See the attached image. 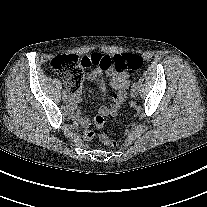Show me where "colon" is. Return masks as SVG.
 I'll return each mask as SVG.
<instances>
[{
	"label": "colon",
	"mask_w": 207,
	"mask_h": 207,
	"mask_svg": "<svg viewBox=\"0 0 207 207\" xmlns=\"http://www.w3.org/2000/svg\"><path fill=\"white\" fill-rule=\"evenodd\" d=\"M143 63V58L133 53L113 56L94 53L84 57L60 55L51 61V67L63 78L68 91L73 93L80 90L84 71L87 68L97 67L103 70L112 68L116 71H137L142 68ZM93 123L97 128H101L104 125V118L98 115L94 118ZM94 134V131L88 128L83 132V137L89 140L94 137ZM100 139L111 147H116L121 142L120 140L109 139L105 135H101Z\"/></svg>",
	"instance_id": "5ec220e1"
}]
</instances>
